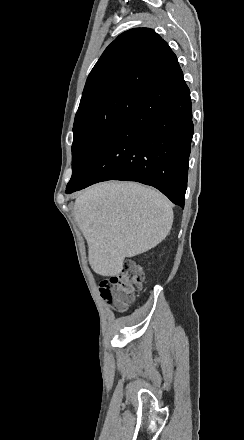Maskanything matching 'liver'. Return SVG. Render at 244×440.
I'll return each mask as SVG.
<instances>
[{
  "label": "liver",
  "instance_id": "liver-1",
  "mask_svg": "<svg viewBox=\"0 0 244 440\" xmlns=\"http://www.w3.org/2000/svg\"><path fill=\"white\" fill-rule=\"evenodd\" d=\"M74 216L88 244L89 264L99 276H119L125 258L165 240L174 218L167 198L138 182L87 188L75 200Z\"/></svg>",
  "mask_w": 244,
  "mask_h": 440
}]
</instances>
